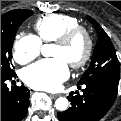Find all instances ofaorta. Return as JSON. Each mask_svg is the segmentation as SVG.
<instances>
[{
	"mask_svg": "<svg viewBox=\"0 0 121 121\" xmlns=\"http://www.w3.org/2000/svg\"><path fill=\"white\" fill-rule=\"evenodd\" d=\"M53 53V47L52 44H44L41 46V54L44 57H49ZM69 105L68 99L64 97H60L55 101V107L59 111H65L67 110Z\"/></svg>",
	"mask_w": 121,
	"mask_h": 121,
	"instance_id": "762f6f07",
	"label": "aorta"
}]
</instances>
